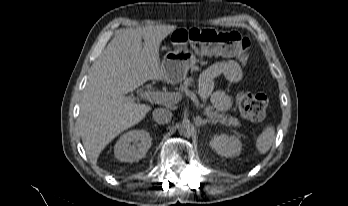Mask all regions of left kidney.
<instances>
[{"mask_svg": "<svg viewBox=\"0 0 348 206\" xmlns=\"http://www.w3.org/2000/svg\"><path fill=\"white\" fill-rule=\"evenodd\" d=\"M210 146L224 157H235L241 152L242 143L236 135H216L210 141Z\"/></svg>", "mask_w": 348, "mask_h": 206, "instance_id": "5707ae66", "label": "left kidney"}]
</instances>
